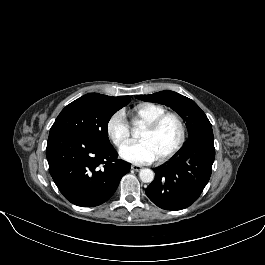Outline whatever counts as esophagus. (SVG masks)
<instances>
[{"mask_svg": "<svg viewBox=\"0 0 265 265\" xmlns=\"http://www.w3.org/2000/svg\"><path fill=\"white\" fill-rule=\"evenodd\" d=\"M142 168L143 167L140 166V165H132L131 166V169L134 170V171H136V172L140 171Z\"/></svg>", "mask_w": 265, "mask_h": 265, "instance_id": "obj_1", "label": "esophagus"}]
</instances>
